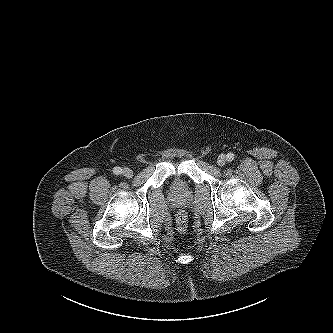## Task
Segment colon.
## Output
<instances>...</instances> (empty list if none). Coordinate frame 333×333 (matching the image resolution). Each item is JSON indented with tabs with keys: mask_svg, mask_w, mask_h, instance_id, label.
Here are the masks:
<instances>
[{
	"mask_svg": "<svg viewBox=\"0 0 333 333\" xmlns=\"http://www.w3.org/2000/svg\"><path fill=\"white\" fill-rule=\"evenodd\" d=\"M176 225H177V229L180 232H185L187 230L188 219H187V216L184 212H180L178 214L177 219H176Z\"/></svg>",
	"mask_w": 333,
	"mask_h": 333,
	"instance_id": "obj_1",
	"label": "colon"
}]
</instances>
